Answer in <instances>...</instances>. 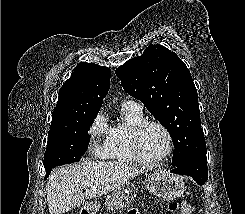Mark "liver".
I'll use <instances>...</instances> for the list:
<instances>
[{"label": "liver", "mask_w": 245, "mask_h": 214, "mask_svg": "<svg viewBox=\"0 0 245 214\" xmlns=\"http://www.w3.org/2000/svg\"><path fill=\"white\" fill-rule=\"evenodd\" d=\"M142 169L122 162L84 161L55 169L46 185L50 214H61L84 204L85 199L103 196L114 191ZM84 183L91 186L83 192Z\"/></svg>", "instance_id": "obj_1"}]
</instances>
